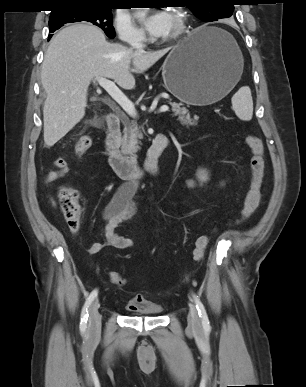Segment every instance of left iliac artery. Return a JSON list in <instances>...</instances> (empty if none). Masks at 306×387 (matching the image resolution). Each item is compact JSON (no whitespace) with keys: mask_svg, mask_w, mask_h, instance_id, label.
<instances>
[{"mask_svg":"<svg viewBox=\"0 0 306 387\" xmlns=\"http://www.w3.org/2000/svg\"><path fill=\"white\" fill-rule=\"evenodd\" d=\"M193 299L195 301V304H196V308L198 310V314H199V317L201 318L202 320V325L205 329H208L210 328V323H209V319H208V315H207V312L205 310V307L204 305L202 304L199 296L193 294Z\"/></svg>","mask_w":306,"mask_h":387,"instance_id":"1","label":"left iliac artery"}]
</instances>
